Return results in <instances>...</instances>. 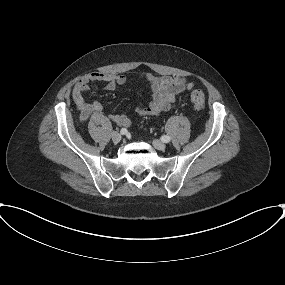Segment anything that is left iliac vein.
Listing matches in <instances>:
<instances>
[{"label": "left iliac vein", "instance_id": "left-iliac-vein-1", "mask_svg": "<svg viewBox=\"0 0 285 285\" xmlns=\"http://www.w3.org/2000/svg\"><path fill=\"white\" fill-rule=\"evenodd\" d=\"M153 146L158 150H164L166 148V144L160 140H153Z\"/></svg>", "mask_w": 285, "mask_h": 285}]
</instances>
